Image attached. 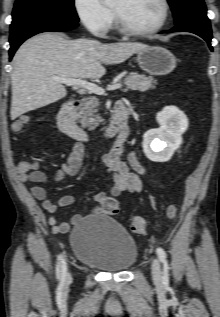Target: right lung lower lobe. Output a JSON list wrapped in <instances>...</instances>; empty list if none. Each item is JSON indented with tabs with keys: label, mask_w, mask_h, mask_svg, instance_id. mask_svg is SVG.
I'll return each instance as SVG.
<instances>
[{
	"label": "right lung lower lobe",
	"mask_w": 220,
	"mask_h": 317,
	"mask_svg": "<svg viewBox=\"0 0 220 317\" xmlns=\"http://www.w3.org/2000/svg\"><path fill=\"white\" fill-rule=\"evenodd\" d=\"M78 26L77 22L70 21L67 19L59 17H37L27 19L15 27L10 28V44L11 48L9 50L10 60L12 59L15 51L29 37L45 32V31H54L62 32L74 29Z\"/></svg>",
	"instance_id": "right-lung-lower-lobe-1"
}]
</instances>
